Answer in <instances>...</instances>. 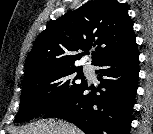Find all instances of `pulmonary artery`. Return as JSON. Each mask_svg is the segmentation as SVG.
I'll list each match as a JSON object with an SVG mask.
<instances>
[{"label": "pulmonary artery", "instance_id": "1", "mask_svg": "<svg viewBox=\"0 0 153 134\" xmlns=\"http://www.w3.org/2000/svg\"><path fill=\"white\" fill-rule=\"evenodd\" d=\"M86 70H87L88 72H90V71H91V68H90L89 66H87V67H86Z\"/></svg>", "mask_w": 153, "mask_h": 134}]
</instances>
